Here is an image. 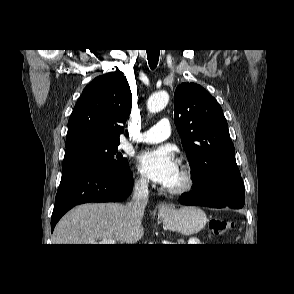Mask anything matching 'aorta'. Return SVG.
Returning <instances> with one entry per match:
<instances>
[{
	"label": "aorta",
	"instance_id": "762f6f07",
	"mask_svg": "<svg viewBox=\"0 0 294 294\" xmlns=\"http://www.w3.org/2000/svg\"><path fill=\"white\" fill-rule=\"evenodd\" d=\"M169 101V95L165 91L151 95L147 101V108L150 113H157L163 110Z\"/></svg>",
	"mask_w": 294,
	"mask_h": 294
}]
</instances>
